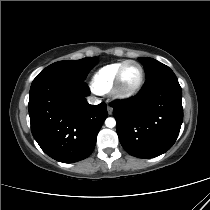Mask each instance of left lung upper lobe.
I'll use <instances>...</instances> for the list:
<instances>
[{"label": "left lung upper lobe", "instance_id": "1", "mask_svg": "<svg viewBox=\"0 0 210 210\" xmlns=\"http://www.w3.org/2000/svg\"><path fill=\"white\" fill-rule=\"evenodd\" d=\"M138 60L144 65L146 79H149L160 72L170 69L168 66L152 58L144 57L138 58Z\"/></svg>", "mask_w": 210, "mask_h": 210}]
</instances>
